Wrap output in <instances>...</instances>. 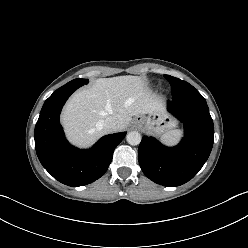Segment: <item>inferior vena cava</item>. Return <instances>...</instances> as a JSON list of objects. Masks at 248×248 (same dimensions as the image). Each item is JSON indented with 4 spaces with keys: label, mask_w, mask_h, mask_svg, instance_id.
<instances>
[{
    "label": "inferior vena cava",
    "mask_w": 248,
    "mask_h": 248,
    "mask_svg": "<svg viewBox=\"0 0 248 248\" xmlns=\"http://www.w3.org/2000/svg\"><path fill=\"white\" fill-rule=\"evenodd\" d=\"M98 127H101L106 133L116 132L119 128V122L114 117H107L104 121L97 123Z\"/></svg>",
    "instance_id": "obj_1"
}]
</instances>
